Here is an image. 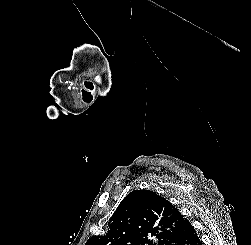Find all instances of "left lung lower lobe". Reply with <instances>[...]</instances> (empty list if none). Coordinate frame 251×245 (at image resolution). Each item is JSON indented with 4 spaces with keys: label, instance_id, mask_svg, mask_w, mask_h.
Instances as JSON below:
<instances>
[{
    "label": "left lung lower lobe",
    "instance_id": "1",
    "mask_svg": "<svg viewBox=\"0 0 251 245\" xmlns=\"http://www.w3.org/2000/svg\"><path fill=\"white\" fill-rule=\"evenodd\" d=\"M168 245H202L200 238L188 221L172 236Z\"/></svg>",
    "mask_w": 251,
    "mask_h": 245
}]
</instances>
